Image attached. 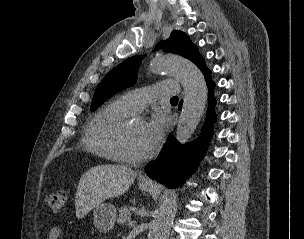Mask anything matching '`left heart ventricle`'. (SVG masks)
<instances>
[{"label":"left heart ventricle","mask_w":304,"mask_h":239,"mask_svg":"<svg viewBox=\"0 0 304 239\" xmlns=\"http://www.w3.org/2000/svg\"><path fill=\"white\" fill-rule=\"evenodd\" d=\"M144 125L140 120H134L129 123L125 139V148L126 151L132 155H143L147 153L142 142Z\"/></svg>","instance_id":"left-heart-ventricle-1"}]
</instances>
